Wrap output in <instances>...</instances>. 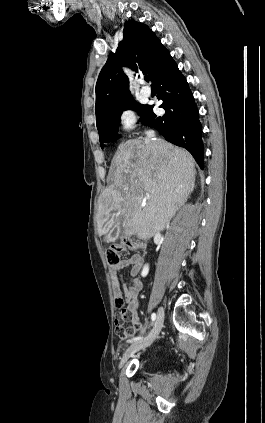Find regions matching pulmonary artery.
<instances>
[{
	"instance_id": "1",
	"label": "pulmonary artery",
	"mask_w": 265,
	"mask_h": 423,
	"mask_svg": "<svg viewBox=\"0 0 265 423\" xmlns=\"http://www.w3.org/2000/svg\"><path fill=\"white\" fill-rule=\"evenodd\" d=\"M141 93L144 96L148 97V96L151 95V89L148 86L143 85L142 88H141Z\"/></svg>"
}]
</instances>
